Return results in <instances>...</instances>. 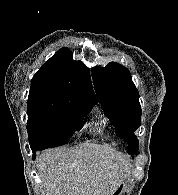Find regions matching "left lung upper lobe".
Listing matches in <instances>:
<instances>
[{"label": "left lung upper lobe", "instance_id": "left-lung-upper-lobe-1", "mask_svg": "<svg viewBox=\"0 0 178 195\" xmlns=\"http://www.w3.org/2000/svg\"><path fill=\"white\" fill-rule=\"evenodd\" d=\"M93 82L98 101L108 112L116 134L128 144V153L138 151L139 142L134 131L141 125V106L129 70L116 62L106 67H94Z\"/></svg>", "mask_w": 178, "mask_h": 195}]
</instances>
